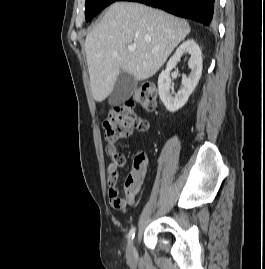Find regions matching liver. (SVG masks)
I'll list each match as a JSON object with an SVG mask.
<instances>
[{
  "mask_svg": "<svg viewBox=\"0 0 265 269\" xmlns=\"http://www.w3.org/2000/svg\"><path fill=\"white\" fill-rule=\"evenodd\" d=\"M190 31L187 21L164 11L139 3L112 4L85 40L94 99L101 102L111 94L121 71L136 81L152 77ZM129 45L136 50L129 51Z\"/></svg>",
  "mask_w": 265,
  "mask_h": 269,
  "instance_id": "obj_1",
  "label": "liver"
}]
</instances>
